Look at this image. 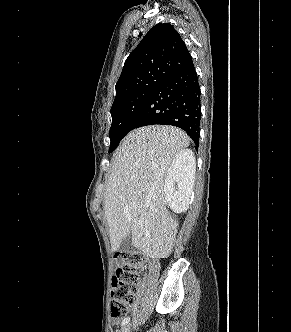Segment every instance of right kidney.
I'll return each instance as SVG.
<instances>
[{
    "instance_id": "obj_1",
    "label": "right kidney",
    "mask_w": 291,
    "mask_h": 332,
    "mask_svg": "<svg viewBox=\"0 0 291 332\" xmlns=\"http://www.w3.org/2000/svg\"><path fill=\"white\" fill-rule=\"evenodd\" d=\"M196 163L192 150H182L168 170L164 185L166 204L177 213L187 210L193 192Z\"/></svg>"
}]
</instances>
